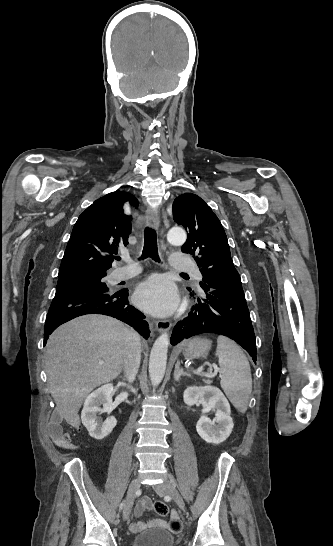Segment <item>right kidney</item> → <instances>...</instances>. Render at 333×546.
I'll return each instance as SVG.
<instances>
[{
	"instance_id": "right-kidney-1",
	"label": "right kidney",
	"mask_w": 333,
	"mask_h": 546,
	"mask_svg": "<svg viewBox=\"0 0 333 546\" xmlns=\"http://www.w3.org/2000/svg\"><path fill=\"white\" fill-rule=\"evenodd\" d=\"M113 390L112 384H105L89 394L84 401L81 420L89 435L97 440L108 436L117 424L115 417H108L104 422L98 417L101 413L112 411Z\"/></svg>"
}]
</instances>
